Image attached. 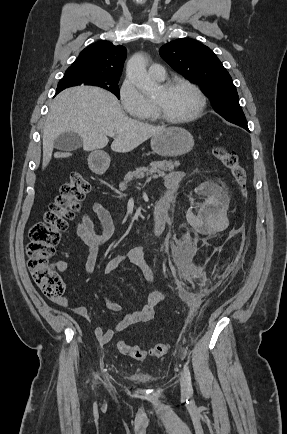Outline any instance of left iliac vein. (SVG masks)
<instances>
[{"mask_svg":"<svg viewBox=\"0 0 287 434\" xmlns=\"http://www.w3.org/2000/svg\"><path fill=\"white\" fill-rule=\"evenodd\" d=\"M180 386H181V393H182V395H184V396L189 395L188 385H187V379H186L184 373H182L181 377H180Z\"/></svg>","mask_w":287,"mask_h":434,"instance_id":"4c4485c4","label":"left iliac vein"}]
</instances>
